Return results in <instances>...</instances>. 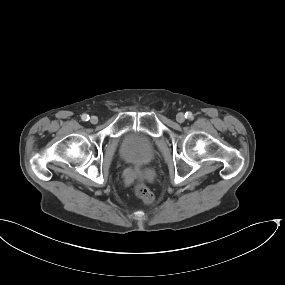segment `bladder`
<instances>
[{
    "label": "bladder",
    "instance_id": "obj_1",
    "mask_svg": "<svg viewBox=\"0 0 285 285\" xmlns=\"http://www.w3.org/2000/svg\"><path fill=\"white\" fill-rule=\"evenodd\" d=\"M119 149L127 164L146 165L155 155L154 138L142 132H127L121 137Z\"/></svg>",
    "mask_w": 285,
    "mask_h": 285
}]
</instances>
